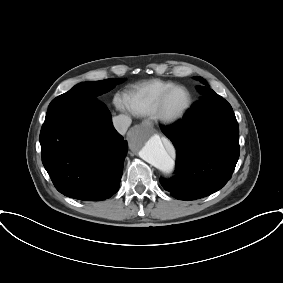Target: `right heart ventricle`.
I'll return each mask as SVG.
<instances>
[{"label": "right heart ventricle", "instance_id": "obj_1", "mask_svg": "<svg viewBox=\"0 0 283 283\" xmlns=\"http://www.w3.org/2000/svg\"><path fill=\"white\" fill-rule=\"evenodd\" d=\"M174 83L161 79H152L136 86L124 95V104L136 116L153 115L157 101Z\"/></svg>", "mask_w": 283, "mask_h": 283}]
</instances>
